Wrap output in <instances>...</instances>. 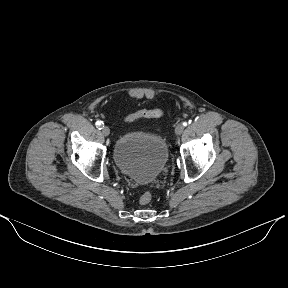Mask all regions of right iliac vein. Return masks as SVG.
Wrapping results in <instances>:
<instances>
[{
	"instance_id": "right-iliac-vein-1",
	"label": "right iliac vein",
	"mask_w": 288,
	"mask_h": 288,
	"mask_svg": "<svg viewBox=\"0 0 288 288\" xmlns=\"http://www.w3.org/2000/svg\"><path fill=\"white\" fill-rule=\"evenodd\" d=\"M102 134L104 135V136H108L109 134H110V129L108 128V127H103L102 128Z\"/></svg>"
}]
</instances>
